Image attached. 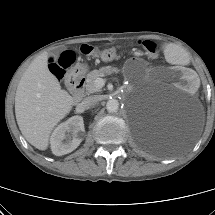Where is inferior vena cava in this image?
I'll list each match as a JSON object with an SVG mask.
<instances>
[{
    "instance_id": "inferior-vena-cava-1",
    "label": "inferior vena cava",
    "mask_w": 215,
    "mask_h": 215,
    "mask_svg": "<svg viewBox=\"0 0 215 215\" xmlns=\"http://www.w3.org/2000/svg\"><path fill=\"white\" fill-rule=\"evenodd\" d=\"M99 101V97L98 96H89L86 97L82 102H81V106L85 109H89L94 107Z\"/></svg>"
}]
</instances>
